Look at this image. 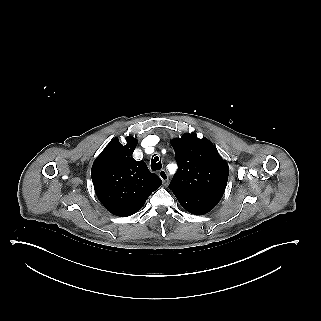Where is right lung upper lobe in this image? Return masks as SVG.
Here are the masks:
<instances>
[{
  "mask_svg": "<svg viewBox=\"0 0 321 321\" xmlns=\"http://www.w3.org/2000/svg\"><path fill=\"white\" fill-rule=\"evenodd\" d=\"M122 145L114 138L96 158L91 177L96 195L104 207L116 216H129L144 205L149 195L162 184L144 161L132 153L137 139L129 136Z\"/></svg>",
  "mask_w": 321,
  "mask_h": 321,
  "instance_id": "right-lung-upper-lobe-1",
  "label": "right lung upper lobe"
}]
</instances>
